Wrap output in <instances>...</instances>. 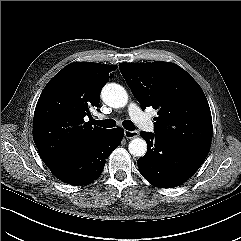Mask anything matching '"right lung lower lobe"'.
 I'll return each instance as SVG.
<instances>
[{"label": "right lung lower lobe", "mask_w": 241, "mask_h": 241, "mask_svg": "<svg viewBox=\"0 0 241 241\" xmlns=\"http://www.w3.org/2000/svg\"><path fill=\"white\" fill-rule=\"evenodd\" d=\"M122 128L107 130L89 145L63 156L45 160L50 171L70 185H86L103 171L105 159L121 143Z\"/></svg>", "instance_id": "right-lung-lower-lobe-1"}]
</instances>
